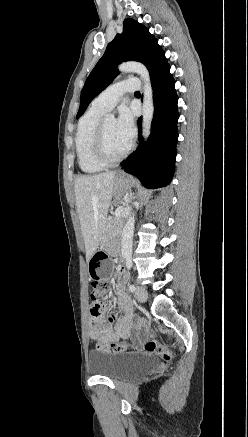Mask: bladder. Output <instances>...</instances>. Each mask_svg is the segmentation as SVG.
I'll return each mask as SVG.
<instances>
[{
	"instance_id": "31cf9c89",
	"label": "bladder",
	"mask_w": 248,
	"mask_h": 437,
	"mask_svg": "<svg viewBox=\"0 0 248 437\" xmlns=\"http://www.w3.org/2000/svg\"><path fill=\"white\" fill-rule=\"evenodd\" d=\"M91 373L113 381L147 374L156 366V360L147 353H110L92 351L88 355Z\"/></svg>"
}]
</instances>
